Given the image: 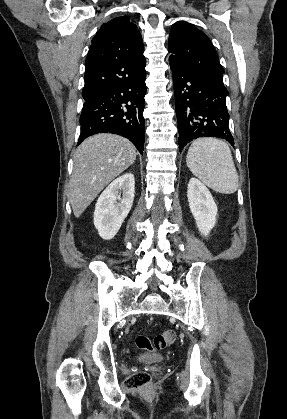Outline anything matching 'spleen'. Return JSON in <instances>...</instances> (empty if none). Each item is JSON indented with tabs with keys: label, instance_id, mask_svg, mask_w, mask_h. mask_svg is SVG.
Instances as JSON below:
<instances>
[{
	"label": "spleen",
	"instance_id": "1",
	"mask_svg": "<svg viewBox=\"0 0 287 419\" xmlns=\"http://www.w3.org/2000/svg\"><path fill=\"white\" fill-rule=\"evenodd\" d=\"M186 163L189 170L214 191L236 192L239 176L226 142L211 137L195 140L188 150Z\"/></svg>",
	"mask_w": 287,
	"mask_h": 419
}]
</instances>
